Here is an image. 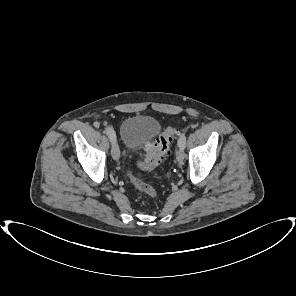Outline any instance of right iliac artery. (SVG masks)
<instances>
[{"label": "right iliac artery", "instance_id": "obj_1", "mask_svg": "<svg viewBox=\"0 0 296 296\" xmlns=\"http://www.w3.org/2000/svg\"><path fill=\"white\" fill-rule=\"evenodd\" d=\"M105 133L109 136L110 140L116 139L115 132L111 127H107Z\"/></svg>", "mask_w": 296, "mask_h": 296}]
</instances>
